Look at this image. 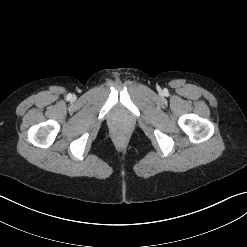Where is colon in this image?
Returning <instances> with one entry per match:
<instances>
[{
  "instance_id": "5ec220e1",
  "label": "colon",
  "mask_w": 247,
  "mask_h": 247,
  "mask_svg": "<svg viewBox=\"0 0 247 247\" xmlns=\"http://www.w3.org/2000/svg\"><path fill=\"white\" fill-rule=\"evenodd\" d=\"M117 135H118V136H122V135H123V131H122V130H118V131H117Z\"/></svg>"
}]
</instances>
